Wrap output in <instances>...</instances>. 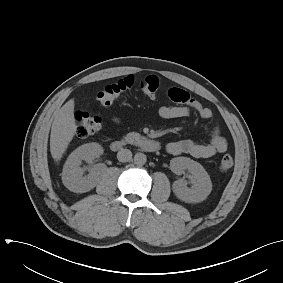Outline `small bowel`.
Instances as JSON below:
<instances>
[{
  "label": "small bowel",
  "instance_id": "small-bowel-1",
  "mask_svg": "<svg viewBox=\"0 0 283 283\" xmlns=\"http://www.w3.org/2000/svg\"><path fill=\"white\" fill-rule=\"evenodd\" d=\"M168 96L175 105L161 106L159 109L161 118L176 119L186 117L190 115L192 110L196 111L203 119L212 118V110L192 98L185 90L176 87L170 88ZM113 121L115 123L120 122L118 118H114ZM227 148V141L221 135L218 126L213 127L207 143H199L191 139H181L166 145L167 152L172 155L189 154L195 158H210L225 152Z\"/></svg>",
  "mask_w": 283,
  "mask_h": 283
}]
</instances>
